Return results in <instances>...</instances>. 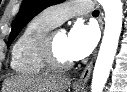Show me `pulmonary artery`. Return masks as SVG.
<instances>
[{"mask_svg": "<svg viewBox=\"0 0 127 92\" xmlns=\"http://www.w3.org/2000/svg\"><path fill=\"white\" fill-rule=\"evenodd\" d=\"M93 8L94 3L91 1H72L52 6L46 10V13L59 25L72 16L88 14Z\"/></svg>", "mask_w": 127, "mask_h": 92, "instance_id": "1", "label": "pulmonary artery"}]
</instances>
